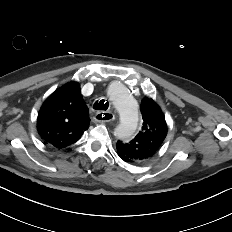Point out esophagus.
I'll return each instance as SVG.
<instances>
[{
	"label": "esophagus",
	"instance_id": "esophagus-1",
	"mask_svg": "<svg viewBox=\"0 0 232 232\" xmlns=\"http://www.w3.org/2000/svg\"><path fill=\"white\" fill-rule=\"evenodd\" d=\"M115 119V116L112 112H104V111H99L95 114L94 120L97 122H110Z\"/></svg>",
	"mask_w": 232,
	"mask_h": 232
}]
</instances>
